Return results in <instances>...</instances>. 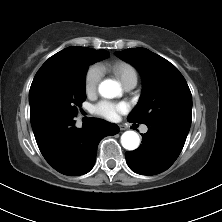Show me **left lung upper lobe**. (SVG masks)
Segmentation results:
<instances>
[{"mask_svg": "<svg viewBox=\"0 0 222 222\" xmlns=\"http://www.w3.org/2000/svg\"><path fill=\"white\" fill-rule=\"evenodd\" d=\"M115 54L134 65L143 78L142 94L129 121L149 124L174 119L190 128L192 95L173 64L145 48L126 49Z\"/></svg>", "mask_w": 222, "mask_h": 222, "instance_id": "left-lung-upper-lobe-1", "label": "left lung upper lobe"}]
</instances>
